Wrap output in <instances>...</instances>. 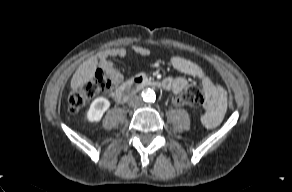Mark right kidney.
Here are the masks:
<instances>
[{
	"label": "right kidney",
	"instance_id": "ca27d5eb",
	"mask_svg": "<svg viewBox=\"0 0 292 192\" xmlns=\"http://www.w3.org/2000/svg\"><path fill=\"white\" fill-rule=\"evenodd\" d=\"M110 102L104 97L96 98L92 103L87 113V118L91 122L101 120L104 112L109 108Z\"/></svg>",
	"mask_w": 292,
	"mask_h": 192
}]
</instances>
